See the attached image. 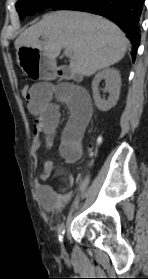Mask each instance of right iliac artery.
Here are the masks:
<instances>
[{"mask_svg":"<svg viewBox=\"0 0 148 279\" xmlns=\"http://www.w3.org/2000/svg\"><path fill=\"white\" fill-rule=\"evenodd\" d=\"M64 233H65V225L64 223H62L58 229V238L60 242L63 241Z\"/></svg>","mask_w":148,"mask_h":279,"instance_id":"82829eb1","label":"right iliac artery"}]
</instances>
